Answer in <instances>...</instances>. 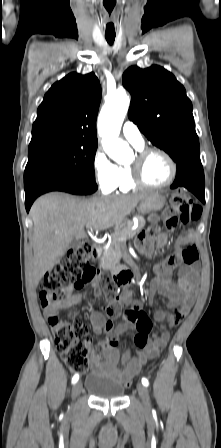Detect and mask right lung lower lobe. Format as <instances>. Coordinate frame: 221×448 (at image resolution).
I'll return each mask as SVG.
<instances>
[{"label": "right lung lower lobe", "mask_w": 221, "mask_h": 448, "mask_svg": "<svg viewBox=\"0 0 221 448\" xmlns=\"http://www.w3.org/2000/svg\"><path fill=\"white\" fill-rule=\"evenodd\" d=\"M25 207L29 209L34 200L50 191H63L87 195L97 190L95 180L78 179L49 169H34L24 173Z\"/></svg>", "instance_id": "1"}]
</instances>
